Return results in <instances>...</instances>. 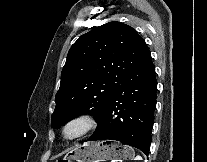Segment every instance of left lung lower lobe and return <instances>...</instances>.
<instances>
[{
    "label": "left lung lower lobe",
    "mask_w": 207,
    "mask_h": 162,
    "mask_svg": "<svg viewBox=\"0 0 207 162\" xmlns=\"http://www.w3.org/2000/svg\"><path fill=\"white\" fill-rule=\"evenodd\" d=\"M157 80L150 51L116 89L87 141L116 140L149 152Z\"/></svg>",
    "instance_id": "left-lung-lower-lobe-1"
}]
</instances>
